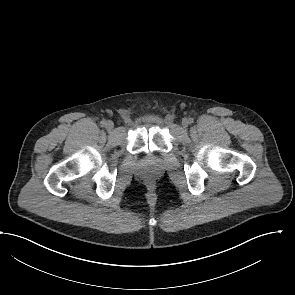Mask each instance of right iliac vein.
Here are the masks:
<instances>
[{
    "instance_id": "right-iliac-vein-1",
    "label": "right iliac vein",
    "mask_w": 295,
    "mask_h": 295,
    "mask_svg": "<svg viewBox=\"0 0 295 295\" xmlns=\"http://www.w3.org/2000/svg\"><path fill=\"white\" fill-rule=\"evenodd\" d=\"M105 127L107 130H112L114 128V123L110 120L106 121Z\"/></svg>"
}]
</instances>
